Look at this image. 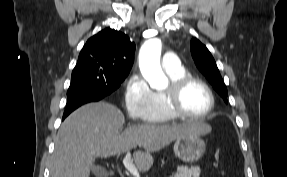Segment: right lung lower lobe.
I'll return each instance as SVG.
<instances>
[{"label":"right lung lower lobe","instance_id":"98d812e1","mask_svg":"<svg viewBox=\"0 0 287 177\" xmlns=\"http://www.w3.org/2000/svg\"><path fill=\"white\" fill-rule=\"evenodd\" d=\"M108 96L104 90L81 89L67 93V105L63 119L83 104L96 102Z\"/></svg>","mask_w":287,"mask_h":177}]
</instances>
